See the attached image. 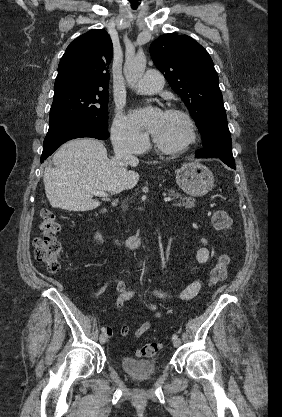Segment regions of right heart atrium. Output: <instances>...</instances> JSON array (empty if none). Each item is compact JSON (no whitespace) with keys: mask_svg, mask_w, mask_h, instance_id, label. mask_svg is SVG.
I'll use <instances>...</instances> for the list:
<instances>
[{"mask_svg":"<svg viewBox=\"0 0 282 417\" xmlns=\"http://www.w3.org/2000/svg\"><path fill=\"white\" fill-rule=\"evenodd\" d=\"M111 139L117 151L128 154L143 152L148 141L147 135L139 131L121 112L117 113L113 121Z\"/></svg>","mask_w":282,"mask_h":417,"instance_id":"right-heart-atrium-1","label":"right heart atrium"}]
</instances>
